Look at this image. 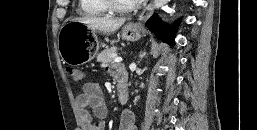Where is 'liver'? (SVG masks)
<instances>
[{"label":"liver","instance_id":"6515ba94","mask_svg":"<svg viewBox=\"0 0 257 130\" xmlns=\"http://www.w3.org/2000/svg\"><path fill=\"white\" fill-rule=\"evenodd\" d=\"M73 20L83 23L90 29L98 30L104 34L115 32L126 21L125 18L113 19L109 17H82Z\"/></svg>","mask_w":257,"mask_h":130}]
</instances>
